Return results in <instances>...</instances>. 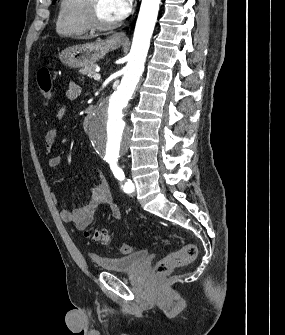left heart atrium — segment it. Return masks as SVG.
<instances>
[{
  "instance_id": "left-heart-atrium-1",
  "label": "left heart atrium",
  "mask_w": 285,
  "mask_h": 335,
  "mask_svg": "<svg viewBox=\"0 0 285 335\" xmlns=\"http://www.w3.org/2000/svg\"><path fill=\"white\" fill-rule=\"evenodd\" d=\"M131 3L132 1H110L114 23H117L127 15Z\"/></svg>"
}]
</instances>
